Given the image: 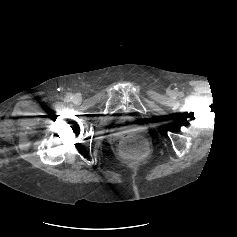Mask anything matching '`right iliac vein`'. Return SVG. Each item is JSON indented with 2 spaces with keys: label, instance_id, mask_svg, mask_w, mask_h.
Returning a JSON list of instances; mask_svg holds the SVG:
<instances>
[{
  "label": "right iliac vein",
  "instance_id": "right-iliac-vein-1",
  "mask_svg": "<svg viewBox=\"0 0 237 237\" xmlns=\"http://www.w3.org/2000/svg\"><path fill=\"white\" fill-rule=\"evenodd\" d=\"M74 102L77 103V104H79V103L81 102V97L78 96V95H75V96H74Z\"/></svg>",
  "mask_w": 237,
  "mask_h": 237
}]
</instances>
